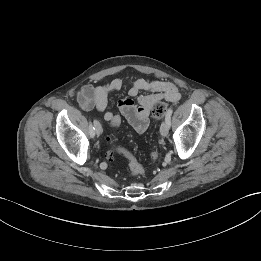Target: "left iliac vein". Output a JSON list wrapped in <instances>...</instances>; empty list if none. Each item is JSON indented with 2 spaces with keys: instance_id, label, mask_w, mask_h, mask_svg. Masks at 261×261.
I'll return each mask as SVG.
<instances>
[{
  "instance_id": "1",
  "label": "left iliac vein",
  "mask_w": 261,
  "mask_h": 261,
  "mask_svg": "<svg viewBox=\"0 0 261 261\" xmlns=\"http://www.w3.org/2000/svg\"><path fill=\"white\" fill-rule=\"evenodd\" d=\"M169 132V123L165 120L162 122L160 127V133L163 137H166Z\"/></svg>"
}]
</instances>
